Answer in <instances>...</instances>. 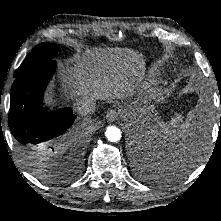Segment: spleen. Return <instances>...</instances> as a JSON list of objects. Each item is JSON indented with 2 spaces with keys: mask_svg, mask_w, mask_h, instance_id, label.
I'll return each mask as SVG.
<instances>
[{
  "mask_svg": "<svg viewBox=\"0 0 221 221\" xmlns=\"http://www.w3.org/2000/svg\"><path fill=\"white\" fill-rule=\"evenodd\" d=\"M181 120L182 115L177 114L171 121L160 124L159 132L162 138L172 142L179 137H184L192 125L190 123H182Z\"/></svg>",
  "mask_w": 221,
  "mask_h": 221,
  "instance_id": "obj_1",
  "label": "spleen"
}]
</instances>
